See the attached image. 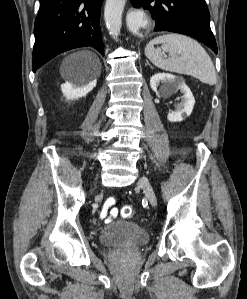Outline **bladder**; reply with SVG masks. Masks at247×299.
<instances>
[{
  "mask_svg": "<svg viewBox=\"0 0 247 299\" xmlns=\"http://www.w3.org/2000/svg\"><path fill=\"white\" fill-rule=\"evenodd\" d=\"M149 239V233L143 227L129 221L112 222L99 233L101 244L109 247L144 245Z\"/></svg>",
  "mask_w": 247,
  "mask_h": 299,
  "instance_id": "31cf9c89",
  "label": "bladder"
}]
</instances>
